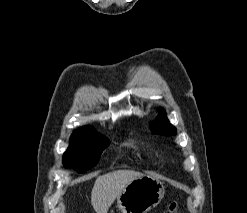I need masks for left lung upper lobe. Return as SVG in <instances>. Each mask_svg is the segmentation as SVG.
<instances>
[{
	"label": "left lung upper lobe",
	"instance_id": "5c2ea615",
	"mask_svg": "<svg viewBox=\"0 0 247 213\" xmlns=\"http://www.w3.org/2000/svg\"><path fill=\"white\" fill-rule=\"evenodd\" d=\"M150 127L152 132L155 134H161L165 136L176 134V128L169 123L163 109L160 110L159 116L154 123L150 124Z\"/></svg>",
	"mask_w": 247,
	"mask_h": 213
}]
</instances>
